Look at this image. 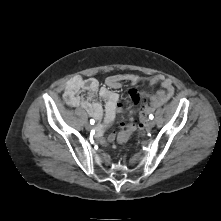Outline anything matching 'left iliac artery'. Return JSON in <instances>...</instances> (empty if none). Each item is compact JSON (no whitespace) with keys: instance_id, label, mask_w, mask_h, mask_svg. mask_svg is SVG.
<instances>
[{"instance_id":"left-iliac-artery-1","label":"left iliac artery","mask_w":221,"mask_h":221,"mask_svg":"<svg viewBox=\"0 0 221 221\" xmlns=\"http://www.w3.org/2000/svg\"><path fill=\"white\" fill-rule=\"evenodd\" d=\"M149 118H150V119H153V118H154L153 114H150V115H149Z\"/></svg>"}]
</instances>
